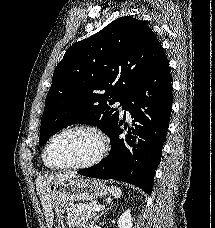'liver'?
Segmentation results:
<instances>
[{"mask_svg":"<svg viewBox=\"0 0 215 228\" xmlns=\"http://www.w3.org/2000/svg\"><path fill=\"white\" fill-rule=\"evenodd\" d=\"M67 178H79L76 174H53V176H38L35 184L37 194L41 200L42 208L45 214L47 228H53L54 216L52 214V202L50 198V186L58 184L61 180Z\"/></svg>","mask_w":215,"mask_h":228,"instance_id":"1","label":"liver"}]
</instances>
